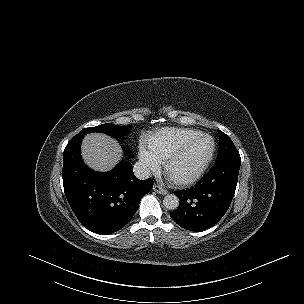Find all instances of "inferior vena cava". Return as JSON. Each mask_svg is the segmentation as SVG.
<instances>
[{"label": "inferior vena cava", "instance_id": "602c4592", "mask_svg": "<svg viewBox=\"0 0 304 304\" xmlns=\"http://www.w3.org/2000/svg\"><path fill=\"white\" fill-rule=\"evenodd\" d=\"M134 175L141 180L151 176L150 168L143 162H136L133 166Z\"/></svg>", "mask_w": 304, "mask_h": 304}]
</instances>
